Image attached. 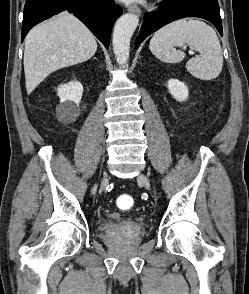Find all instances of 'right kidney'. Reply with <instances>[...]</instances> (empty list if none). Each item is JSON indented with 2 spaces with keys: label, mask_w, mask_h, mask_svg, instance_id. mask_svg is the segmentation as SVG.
Segmentation results:
<instances>
[{
  "label": "right kidney",
  "mask_w": 249,
  "mask_h": 294,
  "mask_svg": "<svg viewBox=\"0 0 249 294\" xmlns=\"http://www.w3.org/2000/svg\"><path fill=\"white\" fill-rule=\"evenodd\" d=\"M83 86L79 81H70L57 89L60 104L56 108L58 117L64 122H74L79 116V103Z\"/></svg>",
  "instance_id": "ca27d5eb"
}]
</instances>
